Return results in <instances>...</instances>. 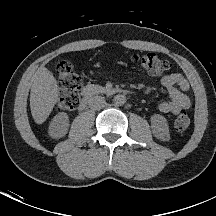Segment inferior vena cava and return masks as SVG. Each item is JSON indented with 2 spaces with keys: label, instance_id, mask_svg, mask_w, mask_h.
Listing matches in <instances>:
<instances>
[{
  "label": "inferior vena cava",
  "instance_id": "inferior-vena-cava-1",
  "mask_svg": "<svg viewBox=\"0 0 216 216\" xmlns=\"http://www.w3.org/2000/svg\"><path fill=\"white\" fill-rule=\"evenodd\" d=\"M89 107L94 110H100L105 106V99L102 96H93L89 99Z\"/></svg>",
  "mask_w": 216,
  "mask_h": 216
}]
</instances>
